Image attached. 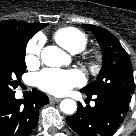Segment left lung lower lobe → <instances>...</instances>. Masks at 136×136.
Returning a JSON list of instances; mask_svg holds the SVG:
<instances>
[{"label":"left lung lower lobe","instance_id":"left-lung-lower-lobe-1","mask_svg":"<svg viewBox=\"0 0 136 136\" xmlns=\"http://www.w3.org/2000/svg\"><path fill=\"white\" fill-rule=\"evenodd\" d=\"M94 97V107H83L78 103L77 112L67 117L66 121L81 136H111L127 113L131 94L116 92L97 94Z\"/></svg>","mask_w":136,"mask_h":136}]
</instances>
